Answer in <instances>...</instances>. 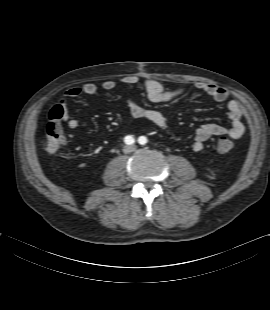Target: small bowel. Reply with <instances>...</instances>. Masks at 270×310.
<instances>
[{
	"label": "small bowel",
	"instance_id": "1",
	"mask_svg": "<svg viewBox=\"0 0 270 310\" xmlns=\"http://www.w3.org/2000/svg\"><path fill=\"white\" fill-rule=\"evenodd\" d=\"M122 82L127 85L142 84L143 90L147 98L154 103H167L175 99L183 97L185 90L183 88L165 89L163 85L157 80L151 78L140 79L137 76H126ZM116 87V82L113 80H106L102 83L104 90L110 91ZM195 88L212 98L218 103H226L228 118L231 122L229 127L222 126L216 123H209L200 126L194 135L192 148L198 152L203 149L204 143L212 137L228 135L233 139H239L245 132L244 124L242 123L243 109L240 103L235 99H230V94L224 87L198 82ZM98 86L92 82L84 83L81 86L69 88L61 97L58 106L63 109L62 120L67 123L70 129H77L80 125L79 121L71 118L67 108V101L81 95L93 96L98 93ZM128 109L130 114L135 118H143L160 129H168L169 122L165 115L155 109H147L140 105L135 97L128 98Z\"/></svg>",
	"mask_w": 270,
	"mask_h": 310
}]
</instances>
